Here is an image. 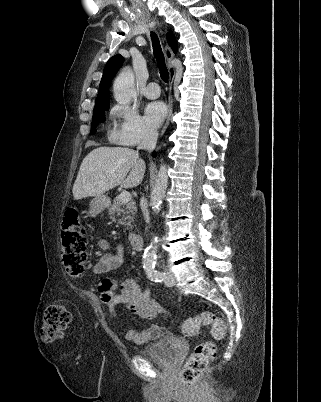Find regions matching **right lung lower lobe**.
<instances>
[{
	"label": "right lung lower lobe",
	"instance_id": "obj_1",
	"mask_svg": "<svg viewBox=\"0 0 321 402\" xmlns=\"http://www.w3.org/2000/svg\"><path fill=\"white\" fill-rule=\"evenodd\" d=\"M153 156L155 157V156H156V153H153Z\"/></svg>",
	"mask_w": 321,
	"mask_h": 402
}]
</instances>
